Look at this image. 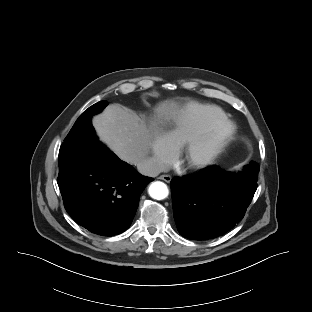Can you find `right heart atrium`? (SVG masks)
Listing matches in <instances>:
<instances>
[{
    "mask_svg": "<svg viewBox=\"0 0 312 312\" xmlns=\"http://www.w3.org/2000/svg\"><path fill=\"white\" fill-rule=\"evenodd\" d=\"M149 148L153 154L152 164L157 169L163 168L175 154V146L161 130H155L151 134Z\"/></svg>",
    "mask_w": 312,
    "mask_h": 312,
    "instance_id": "obj_1",
    "label": "right heart atrium"
}]
</instances>
